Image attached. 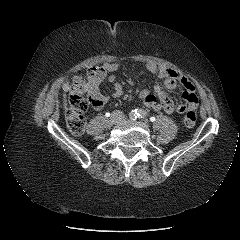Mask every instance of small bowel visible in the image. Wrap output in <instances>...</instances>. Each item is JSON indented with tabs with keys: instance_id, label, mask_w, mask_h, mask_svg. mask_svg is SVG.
<instances>
[{
	"instance_id": "small-bowel-1",
	"label": "small bowel",
	"mask_w": 240,
	"mask_h": 240,
	"mask_svg": "<svg viewBox=\"0 0 240 240\" xmlns=\"http://www.w3.org/2000/svg\"><path fill=\"white\" fill-rule=\"evenodd\" d=\"M119 66V63L111 62L91 68V71L95 72L96 74L88 84L86 93L91 102L93 110H101L110 100V95L102 93L99 89L100 83L106 77L114 84V90L111 96L120 97L123 94L122 85L118 82H115L114 72L119 69ZM145 67L146 70L151 74L158 75L162 81V85L165 88L174 90L179 86H182V97L185 100V103L183 104L175 103L163 91L161 84L157 83L154 86V93L147 88H142L140 92L139 97L146 107L154 111H164L168 114H172L174 112L185 113L189 108L195 109L197 107L198 98L195 88L184 74L168 67L157 65L153 62H148Z\"/></svg>"
}]
</instances>
